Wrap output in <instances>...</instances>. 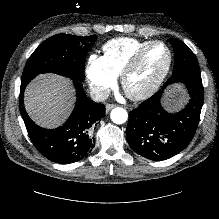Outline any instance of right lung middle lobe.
I'll return each mask as SVG.
<instances>
[{
    "instance_id": "obj_1",
    "label": "right lung middle lobe",
    "mask_w": 219,
    "mask_h": 219,
    "mask_svg": "<svg viewBox=\"0 0 219 219\" xmlns=\"http://www.w3.org/2000/svg\"><path fill=\"white\" fill-rule=\"evenodd\" d=\"M96 35L81 37L57 34L40 44L29 57L21 78V87L40 73H55L84 81V63Z\"/></svg>"
}]
</instances>
